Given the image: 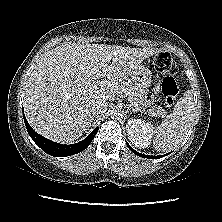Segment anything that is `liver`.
Masks as SVG:
<instances>
[{
  "label": "liver",
  "mask_w": 222,
  "mask_h": 222,
  "mask_svg": "<svg viewBox=\"0 0 222 222\" xmlns=\"http://www.w3.org/2000/svg\"><path fill=\"white\" fill-rule=\"evenodd\" d=\"M157 52L88 43L55 47L29 77L23 102L27 121L52 141L74 142L91 124L93 105L120 94L128 76Z\"/></svg>",
  "instance_id": "6515ba94"
}]
</instances>
